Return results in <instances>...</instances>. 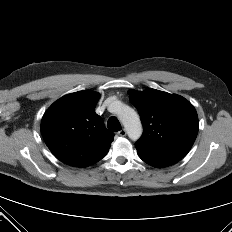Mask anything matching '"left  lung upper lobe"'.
I'll return each mask as SVG.
<instances>
[{"label":"left lung upper lobe","mask_w":232,"mask_h":232,"mask_svg":"<svg viewBox=\"0 0 232 232\" xmlns=\"http://www.w3.org/2000/svg\"><path fill=\"white\" fill-rule=\"evenodd\" d=\"M144 132L135 143L139 156L182 158L190 151L198 132V116L185 98L156 89L130 90Z\"/></svg>","instance_id":"1"}]
</instances>
